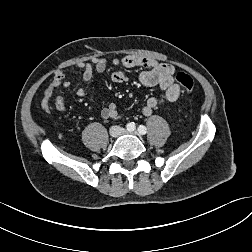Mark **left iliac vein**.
Instances as JSON below:
<instances>
[{
	"label": "left iliac vein",
	"instance_id": "left-iliac-vein-1",
	"mask_svg": "<svg viewBox=\"0 0 252 252\" xmlns=\"http://www.w3.org/2000/svg\"><path fill=\"white\" fill-rule=\"evenodd\" d=\"M124 133H127V132H124ZM129 133L134 134V135H138V132H137V131H135V130L130 131Z\"/></svg>",
	"mask_w": 252,
	"mask_h": 252
}]
</instances>
